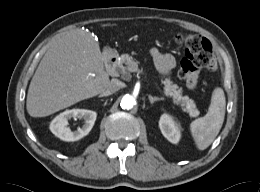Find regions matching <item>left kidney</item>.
<instances>
[{
  "instance_id": "obj_1",
  "label": "left kidney",
  "mask_w": 260,
  "mask_h": 192,
  "mask_svg": "<svg viewBox=\"0 0 260 192\" xmlns=\"http://www.w3.org/2000/svg\"><path fill=\"white\" fill-rule=\"evenodd\" d=\"M159 128L165 138L171 143H178L181 138V133L178 125L173 118L168 114H163L159 120Z\"/></svg>"
}]
</instances>
